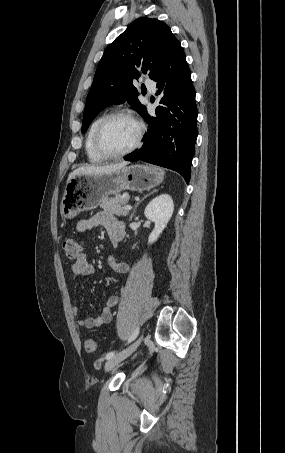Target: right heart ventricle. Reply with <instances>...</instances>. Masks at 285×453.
<instances>
[{"mask_svg":"<svg viewBox=\"0 0 285 453\" xmlns=\"http://www.w3.org/2000/svg\"><path fill=\"white\" fill-rule=\"evenodd\" d=\"M105 115H100L97 118L93 120V122L90 124L86 139H85V153L87 156V159L89 162L93 164H99L104 162L105 158H103L101 155L97 153L94 147V134L96 131V128L100 121L104 118Z\"/></svg>","mask_w":285,"mask_h":453,"instance_id":"right-heart-ventricle-1","label":"right heart ventricle"}]
</instances>
